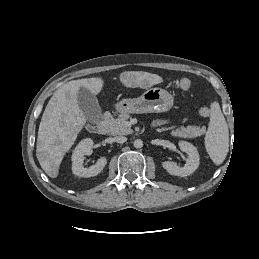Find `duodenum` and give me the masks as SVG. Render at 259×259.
Masks as SVG:
<instances>
[{
    "instance_id": "410a0bca",
    "label": "duodenum",
    "mask_w": 259,
    "mask_h": 259,
    "mask_svg": "<svg viewBox=\"0 0 259 259\" xmlns=\"http://www.w3.org/2000/svg\"><path fill=\"white\" fill-rule=\"evenodd\" d=\"M87 130L92 134L103 135L106 132V126L104 122L88 124Z\"/></svg>"
}]
</instances>
